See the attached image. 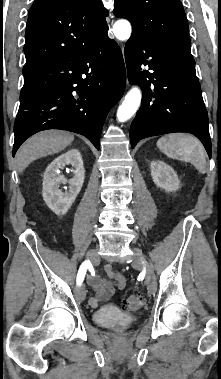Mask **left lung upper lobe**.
I'll return each mask as SVG.
<instances>
[{
  "mask_svg": "<svg viewBox=\"0 0 221 379\" xmlns=\"http://www.w3.org/2000/svg\"><path fill=\"white\" fill-rule=\"evenodd\" d=\"M113 13L131 22L132 33L174 54L193 59L186 15L179 0H115Z\"/></svg>",
  "mask_w": 221,
  "mask_h": 379,
  "instance_id": "left-lung-upper-lobe-1",
  "label": "left lung upper lobe"
}]
</instances>
